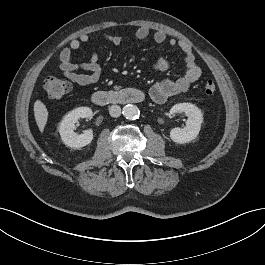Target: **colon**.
<instances>
[{
  "label": "colon",
  "instance_id": "obj_1",
  "mask_svg": "<svg viewBox=\"0 0 265 265\" xmlns=\"http://www.w3.org/2000/svg\"><path fill=\"white\" fill-rule=\"evenodd\" d=\"M44 90L50 100L59 101L69 92L70 85L65 80L48 77L44 82ZM215 91L216 85L213 81L209 80L204 84V92L207 95H212Z\"/></svg>",
  "mask_w": 265,
  "mask_h": 265
}]
</instances>
